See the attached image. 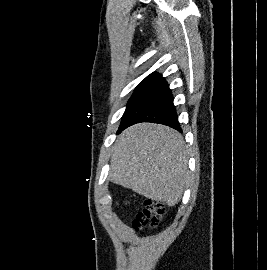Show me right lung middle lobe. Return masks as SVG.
Wrapping results in <instances>:
<instances>
[{"label":"right lung middle lobe","mask_w":267,"mask_h":270,"mask_svg":"<svg viewBox=\"0 0 267 270\" xmlns=\"http://www.w3.org/2000/svg\"><path fill=\"white\" fill-rule=\"evenodd\" d=\"M154 78H155L154 76H148L143 81H141L139 83V85L136 87L133 95L131 96L130 100L127 103V107H126V110L124 112L120 126L124 123L125 116L128 113V111L138 101V99L146 92V90L149 88V86L153 82Z\"/></svg>","instance_id":"1"}]
</instances>
